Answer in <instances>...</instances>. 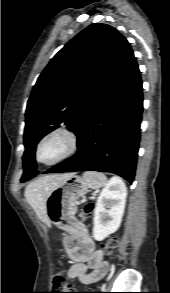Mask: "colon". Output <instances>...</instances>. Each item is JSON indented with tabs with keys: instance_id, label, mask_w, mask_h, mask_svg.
I'll return each mask as SVG.
<instances>
[{
	"instance_id": "5ec220e1",
	"label": "colon",
	"mask_w": 170,
	"mask_h": 293,
	"mask_svg": "<svg viewBox=\"0 0 170 293\" xmlns=\"http://www.w3.org/2000/svg\"><path fill=\"white\" fill-rule=\"evenodd\" d=\"M93 209V204L88 203L84 206V211L85 213H90ZM66 231L71 234H76L83 238V228L81 226H69L67 227ZM117 246V239L116 238H111L106 246L105 250L110 252L112 251L115 247ZM53 287L56 291L58 292H53V293H80V292H72L74 291L72 287L68 286L66 283L65 279L61 275H56L53 278Z\"/></svg>"
}]
</instances>
